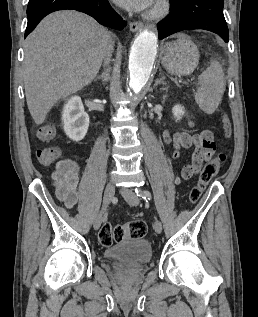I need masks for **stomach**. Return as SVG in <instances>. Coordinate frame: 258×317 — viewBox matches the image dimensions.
<instances>
[{"instance_id":"stomach-1","label":"stomach","mask_w":258,"mask_h":317,"mask_svg":"<svg viewBox=\"0 0 258 317\" xmlns=\"http://www.w3.org/2000/svg\"><path fill=\"white\" fill-rule=\"evenodd\" d=\"M160 58L167 72L186 76L195 70L200 54L198 46L190 40V36L179 34L177 40L161 44Z\"/></svg>"}]
</instances>
